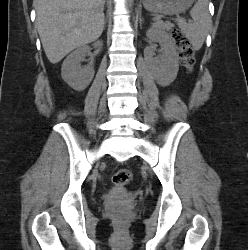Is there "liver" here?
Segmentation results:
<instances>
[{
  "label": "liver",
  "instance_id": "obj_1",
  "mask_svg": "<svg viewBox=\"0 0 248 250\" xmlns=\"http://www.w3.org/2000/svg\"><path fill=\"white\" fill-rule=\"evenodd\" d=\"M104 3L105 0H34L36 27L52 64L100 37Z\"/></svg>",
  "mask_w": 248,
  "mask_h": 250
}]
</instances>
